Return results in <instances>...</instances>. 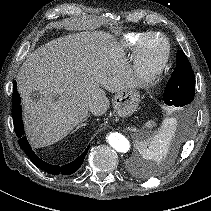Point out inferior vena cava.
Segmentation results:
<instances>
[{
    "mask_svg": "<svg viewBox=\"0 0 211 211\" xmlns=\"http://www.w3.org/2000/svg\"><path fill=\"white\" fill-rule=\"evenodd\" d=\"M93 108H94V104L92 102H90L89 105H88L89 111H92Z\"/></svg>",
    "mask_w": 211,
    "mask_h": 211,
    "instance_id": "602c4592",
    "label": "inferior vena cava"
}]
</instances>
